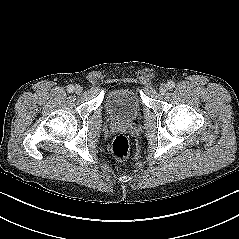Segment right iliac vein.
Wrapping results in <instances>:
<instances>
[{"instance_id": "63e3f726", "label": "right iliac vein", "mask_w": 239, "mask_h": 239, "mask_svg": "<svg viewBox=\"0 0 239 239\" xmlns=\"http://www.w3.org/2000/svg\"><path fill=\"white\" fill-rule=\"evenodd\" d=\"M74 91L76 94H81L83 89L81 86L77 85V86H75Z\"/></svg>"}]
</instances>
